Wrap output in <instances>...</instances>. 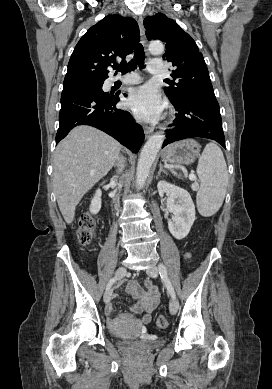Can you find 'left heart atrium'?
Returning a JSON list of instances; mask_svg holds the SVG:
<instances>
[{
	"label": "left heart atrium",
	"instance_id": "1",
	"mask_svg": "<svg viewBox=\"0 0 272 389\" xmlns=\"http://www.w3.org/2000/svg\"><path fill=\"white\" fill-rule=\"evenodd\" d=\"M127 106L139 118L153 121L161 116L165 103L154 86L144 85L131 91Z\"/></svg>",
	"mask_w": 272,
	"mask_h": 389
}]
</instances>
